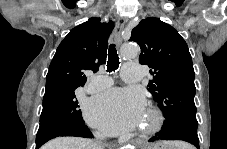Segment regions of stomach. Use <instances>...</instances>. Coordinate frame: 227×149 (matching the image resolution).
<instances>
[{"label": "stomach", "mask_w": 227, "mask_h": 149, "mask_svg": "<svg viewBox=\"0 0 227 149\" xmlns=\"http://www.w3.org/2000/svg\"><path fill=\"white\" fill-rule=\"evenodd\" d=\"M144 149H169V148H167V146L162 145V144H156L154 146H149V147L144 148Z\"/></svg>", "instance_id": "1"}]
</instances>
